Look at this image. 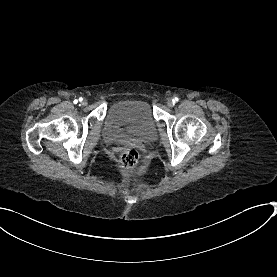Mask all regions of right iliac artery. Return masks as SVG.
Wrapping results in <instances>:
<instances>
[{"label":"right iliac artery","mask_w":277,"mask_h":277,"mask_svg":"<svg viewBox=\"0 0 277 277\" xmlns=\"http://www.w3.org/2000/svg\"><path fill=\"white\" fill-rule=\"evenodd\" d=\"M79 101H82V98H79ZM74 102H75V103H77V102H78V100H75Z\"/></svg>","instance_id":"1"}]
</instances>
